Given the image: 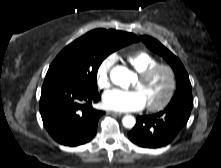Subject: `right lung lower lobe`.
Listing matches in <instances>:
<instances>
[{"instance_id":"98d812e1","label":"right lung lower lobe","mask_w":221,"mask_h":168,"mask_svg":"<svg viewBox=\"0 0 221 168\" xmlns=\"http://www.w3.org/2000/svg\"><path fill=\"white\" fill-rule=\"evenodd\" d=\"M100 100L98 90L61 80H44L40 113L50 136L62 145L77 146L89 142L96 134L103 111L92 103Z\"/></svg>"}]
</instances>
